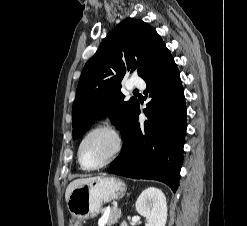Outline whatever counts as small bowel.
I'll return each mask as SVG.
<instances>
[{
  "label": "small bowel",
  "mask_w": 247,
  "mask_h": 226,
  "mask_svg": "<svg viewBox=\"0 0 247 226\" xmlns=\"http://www.w3.org/2000/svg\"><path fill=\"white\" fill-rule=\"evenodd\" d=\"M120 226H127L126 224H122V225H120Z\"/></svg>",
  "instance_id": "c3829d8e"
}]
</instances>
